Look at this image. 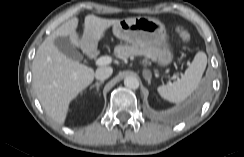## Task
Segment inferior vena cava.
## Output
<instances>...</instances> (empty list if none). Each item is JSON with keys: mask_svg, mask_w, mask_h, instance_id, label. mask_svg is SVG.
Segmentation results:
<instances>
[{"mask_svg": "<svg viewBox=\"0 0 244 157\" xmlns=\"http://www.w3.org/2000/svg\"><path fill=\"white\" fill-rule=\"evenodd\" d=\"M112 72L111 67H100L96 70L95 77L97 80L104 81L112 75Z\"/></svg>", "mask_w": 244, "mask_h": 157, "instance_id": "1", "label": "inferior vena cava"}]
</instances>
